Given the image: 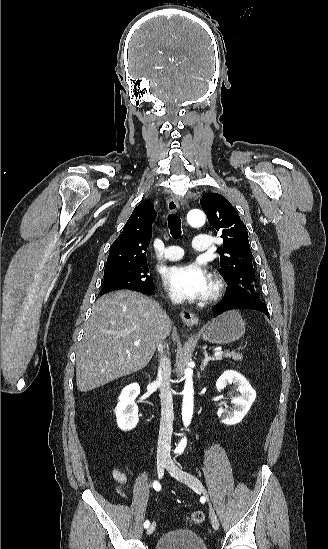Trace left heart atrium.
<instances>
[{
    "label": "left heart atrium",
    "mask_w": 328,
    "mask_h": 549,
    "mask_svg": "<svg viewBox=\"0 0 328 549\" xmlns=\"http://www.w3.org/2000/svg\"><path fill=\"white\" fill-rule=\"evenodd\" d=\"M164 283L178 301L206 298L212 289L211 275L198 262L169 269L165 274Z\"/></svg>",
    "instance_id": "obj_1"
}]
</instances>
